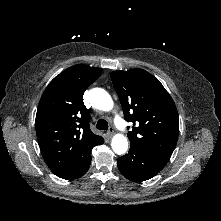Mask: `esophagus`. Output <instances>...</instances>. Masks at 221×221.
Wrapping results in <instances>:
<instances>
[{
  "mask_svg": "<svg viewBox=\"0 0 221 221\" xmlns=\"http://www.w3.org/2000/svg\"><path fill=\"white\" fill-rule=\"evenodd\" d=\"M113 134H114V128L110 127L109 130L107 131V135H108V137H112Z\"/></svg>",
  "mask_w": 221,
  "mask_h": 221,
  "instance_id": "esophagus-1",
  "label": "esophagus"
}]
</instances>
